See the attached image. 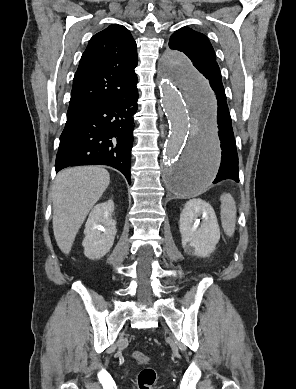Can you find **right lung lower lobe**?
<instances>
[{"instance_id": "obj_1", "label": "right lung lower lobe", "mask_w": 296, "mask_h": 389, "mask_svg": "<svg viewBox=\"0 0 296 389\" xmlns=\"http://www.w3.org/2000/svg\"><path fill=\"white\" fill-rule=\"evenodd\" d=\"M136 83L137 78L118 99L67 118L60 136L56 172L69 166L108 165L122 172L131 184Z\"/></svg>"}]
</instances>
